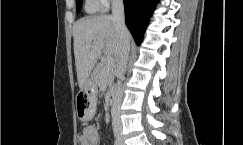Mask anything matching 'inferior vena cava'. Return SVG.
Returning a JSON list of instances; mask_svg holds the SVG:
<instances>
[{
  "label": "inferior vena cava",
  "mask_w": 243,
  "mask_h": 145,
  "mask_svg": "<svg viewBox=\"0 0 243 145\" xmlns=\"http://www.w3.org/2000/svg\"><path fill=\"white\" fill-rule=\"evenodd\" d=\"M112 19L117 24L118 34L120 38V51L118 55V64H117V89L112 104V115L115 117L119 116L122 97H123V88L122 80L126 71L129 51H130V38L128 36V30L125 26L124 21V5L122 0H113L112 1Z\"/></svg>",
  "instance_id": "obj_1"
}]
</instances>
